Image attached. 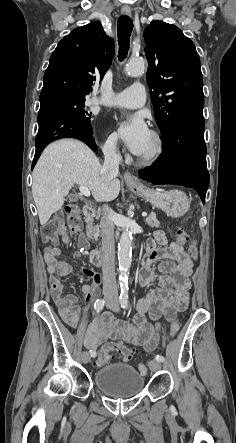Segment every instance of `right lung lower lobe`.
<instances>
[{"label": "right lung lower lobe", "mask_w": 236, "mask_h": 443, "mask_svg": "<svg viewBox=\"0 0 236 443\" xmlns=\"http://www.w3.org/2000/svg\"><path fill=\"white\" fill-rule=\"evenodd\" d=\"M39 130L35 140L36 152L32 163L35 166L43 149L60 138H76L85 142L92 150L98 146L93 138V129L87 122L56 102L41 103L38 114Z\"/></svg>", "instance_id": "1"}]
</instances>
